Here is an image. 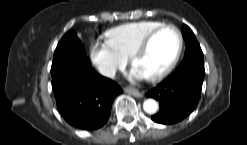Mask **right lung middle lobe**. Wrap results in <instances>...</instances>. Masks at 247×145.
<instances>
[{"label": "right lung middle lobe", "instance_id": "obj_1", "mask_svg": "<svg viewBox=\"0 0 247 145\" xmlns=\"http://www.w3.org/2000/svg\"><path fill=\"white\" fill-rule=\"evenodd\" d=\"M73 55H86L83 44L78 39L75 31L66 33L58 43L52 65Z\"/></svg>", "mask_w": 247, "mask_h": 145}]
</instances>
